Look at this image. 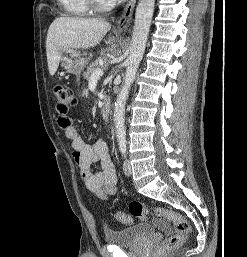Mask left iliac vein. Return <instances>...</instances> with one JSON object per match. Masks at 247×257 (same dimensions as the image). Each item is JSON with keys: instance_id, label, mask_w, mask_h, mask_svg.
<instances>
[{"instance_id": "obj_1", "label": "left iliac vein", "mask_w": 247, "mask_h": 257, "mask_svg": "<svg viewBox=\"0 0 247 257\" xmlns=\"http://www.w3.org/2000/svg\"><path fill=\"white\" fill-rule=\"evenodd\" d=\"M123 171L124 174L130 176L132 174V167L130 162L126 159L123 163Z\"/></svg>"}]
</instances>
